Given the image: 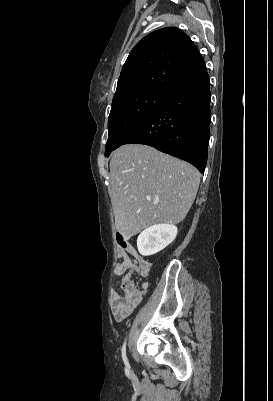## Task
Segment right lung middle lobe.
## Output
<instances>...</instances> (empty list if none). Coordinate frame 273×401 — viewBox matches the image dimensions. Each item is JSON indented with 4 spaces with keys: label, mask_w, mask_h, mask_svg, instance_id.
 I'll use <instances>...</instances> for the list:
<instances>
[{
    "label": "right lung middle lobe",
    "mask_w": 273,
    "mask_h": 401,
    "mask_svg": "<svg viewBox=\"0 0 273 401\" xmlns=\"http://www.w3.org/2000/svg\"><path fill=\"white\" fill-rule=\"evenodd\" d=\"M165 93L143 91L133 93L112 102L108 118V140L105 156L123 145L130 134L162 102Z\"/></svg>",
    "instance_id": "1"
}]
</instances>
